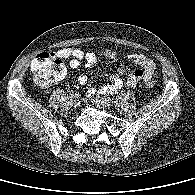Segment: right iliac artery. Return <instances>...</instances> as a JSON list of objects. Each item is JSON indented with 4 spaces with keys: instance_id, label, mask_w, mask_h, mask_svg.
Segmentation results:
<instances>
[{
    "instance_id": "obj_1",
    "label": "right iliac artery",
    "mask_w": 195,
    "mask_h": 195,
    "mask_svg": "<svg viewBox=\"0 0 195 195\" xmlns=\"http://www.w3.org/2000/svg\"><path fill=\"white\" fill-rule=\"evenodd\" d=\"M79 96V94H75V97H78Z\"/></svg>"
}]
</instances>
